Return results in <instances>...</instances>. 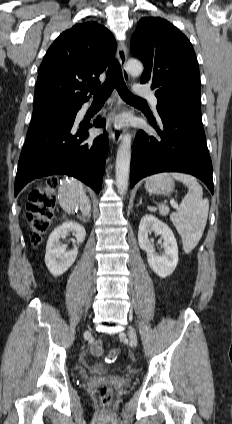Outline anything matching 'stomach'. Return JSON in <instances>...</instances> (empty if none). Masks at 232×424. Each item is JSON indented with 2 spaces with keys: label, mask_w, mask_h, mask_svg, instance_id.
Here are the masks:
<instances>
[{
  "label": "stomach",
  "mask_w": 232,
  "mask_h": 424,
  "mask_svg": "<svg viewBox=\"0 0 232 424\" xmlns=\"http://www.w3.org/2000/svg\"><path fill=\"white\" fill-rule=\"evenodd\" d=\"M145 188L149 193L169 195L174 188V181L167 173H162L147 179Z\"/></svg>",
  "instance_id": "0dacf381"
}]
</instances>
